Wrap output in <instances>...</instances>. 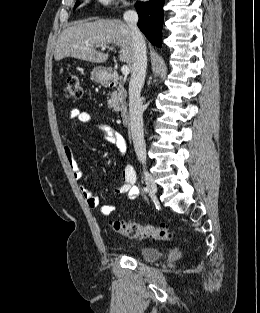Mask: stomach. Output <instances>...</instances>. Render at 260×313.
Wrapping results in <instances>:
<instances>
[{"label": "stomach", "mask_w": 260, "mask_h": 313, "mask_svg": "<svg viewBox=\"0 0 260 313\" xmlns=\"http://www.w3.org/2000/svg\"><path fill=\"white\" fill-rule=\"evenodd\" d=\"M91 78L95 82L103 83V82L107 81L108 73L106 72V70L104 68L96 67L91 72Z\"/></svg>", "instance_id": "0dacf381"}]
</instances>
